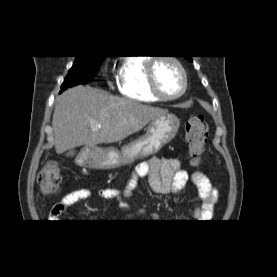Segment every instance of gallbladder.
Returning a JSON list of instances; mask_svg holds the SVG:
<instances>
[{"mask_svg": "<svg viewBox=\"0 0 277 277\" xmlns=\"http://www.w3.org/2000/svg\"><path fill=\"white\" fill-rule=\"evenodd\" d=\"M75 151L74 150H69V152L66 153V156L68 157H73L75 155Z\"/></svg>", "mask_w": 277, "mask_h": 277, "instance_id": "1", "label": "gallbladder"}]
</instances>
